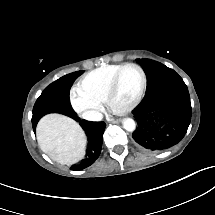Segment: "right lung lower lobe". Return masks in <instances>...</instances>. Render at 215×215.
<instances>
[{
	"instance_id": "98d812e1",
	"label": "right lung lower lobe",
	"mask_w": 215,
	"mask_h": 215,
	"mask_svg": "<svg viewBox=\"0 0 215 215\" xmlns=\"http://www.w3.org/2000/svg\"><path fill=\"white\" fill-rule=\"evenodd\" d=\"M71 118L75 120L79 119L77 116ZM38 121L39 119L34 121L32 120L34 132ZM79 123L88 137V147L84 160H82L80 164L71 167V170L75 171L87 168L88 166L92 165L99 157L102 148L103 133L106 127V124L103 122H90L86 120H81Z\"/></svg>"
}]
</instances>
